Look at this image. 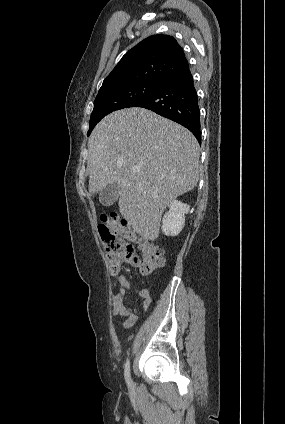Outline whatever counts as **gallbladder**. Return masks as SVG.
Here are the masks:
<instances>
[{
    "instance_id": "1",
    "label": "gallbladder",
    "mask_w": 285,
    "mask_h": 424,
    "mask_svg": "<svg viewBox=\"0 0 285 424\" xmlns=\"http://www.w3.org/2000/svg\"><path fill=\"white\" fill-rule=\"evenodd\" d=\"M119 191L120 185L117 182L106 185L100 192V203L104 206H111L117 200Z\"/></svg>"
}]
</instances>
